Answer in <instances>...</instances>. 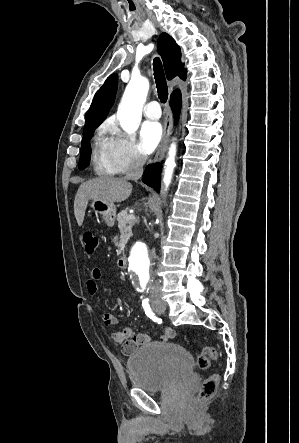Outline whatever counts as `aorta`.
I'll use <instances>...</instances> for the list:
<instances>
[{"label":"aorta","instance_id":"1","mask_svg":"<svg viewBox=\"0 0 299 443\" xmlns=\"http://www.w3.org/2000/svg\"><path fill=\"white\" fill-rule=\"evenodd\" d=\"M149 90V82L144 77H133L128 83L117 117L121 128L128 134H133L139 127L142 115V107L145 103ZM176 155V145L173 143L170 147L168 158L165 162V171L163 182L168 188L174 168ZM130 269L138 276L140 291L145 292L149 280L150 257L145 244L137 242L131 252L129 259Z\"/></svg>","mask_w":299,"mask_h":443}]
</instances>
